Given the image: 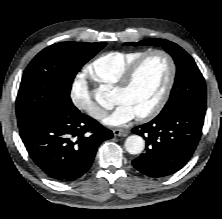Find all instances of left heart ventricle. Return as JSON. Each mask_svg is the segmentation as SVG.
Here are the masks:
<instances>
[{
	"mask_svg": "<svg viewBox=\"0 0 222 219\" xmlns=\"http://www.w3.org/2000/svg\"><path fill=\"white\" fill-rule=\"evenodd\" d=\"M168 79L167 61L160 55L148 57L140 66L131 86L115 90V104L126 103L141 115L150 110L159 100Z\"/></svg>",
	"mask_w": 222,
	"mask_h": 219,
	"instance_id": "left-heart-ventricle-1",
	"label": "left heart ventricle"
}]
</instances>
